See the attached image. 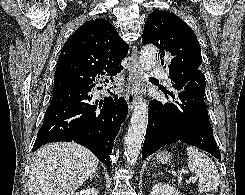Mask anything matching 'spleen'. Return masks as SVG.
Returning a JSON list of instances; mask_svg holds the SVG:
<instances>
[{
  "mask_svg": "<svg viewBox=\"0 0 245 195\" xmlns=\"http://www.w3.org/2000/svg\"><path fill=\"white\" fill-rule=\"evenodd\" d=\"M188 162L190 171L199 177L198 190L206 193L216 190L220 183V176L214 162L204 153L199 152L195 147H187Z\"/></svg>",
  "mask_w": 245,
  "mask_h": 195,
  "instance_id": "1",
  "label": "spleen"
}]
</instances>
